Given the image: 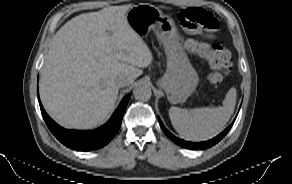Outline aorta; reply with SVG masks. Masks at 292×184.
Listing matches in <instances>:
<instances>
[{"label": "aorta", "mask_w": 292, "mask_h": 184, "mask_svg": "<svg viewBox=\"0 0 292 184\" xmlns=\"http://www.w3.org/2000/svg\"><path fill=\"white\" fill-rule=\"evenodd\" d=\"M133 95L136 100L148 101L152 96L151 87L145 83H139L134 87Z\"/></svg>", "instance_id": "obj_1"}]
</instances>
